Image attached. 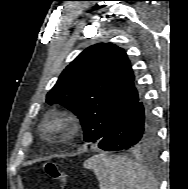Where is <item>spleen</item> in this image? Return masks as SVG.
<instances>
[{"instance_id": "3e777b00", "label": "spleen", "mask_w": 188, "mask_h": 189, "mask_svg": "<svg viewBox=\"0 0 188 189\" xmlns=\"http://www.w3.org/2000/svg\"><path fill=\"white\" fill-rule=\"evenodd\" d=\"M93 170L100 189H156L154 177L140 164L122 157L95 155L84 162Z\"/></svg>"}]
</instances>
